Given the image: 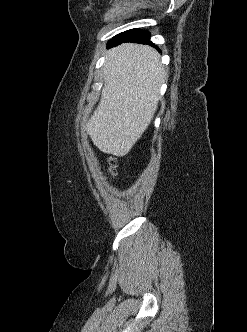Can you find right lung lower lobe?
Listing matches in <instances>:
<instances>
[{
    "instance_id": "1",
    "label": "right lung lower lobe",
    "mask_w": 247,
    "mask_h": 332,
    "mask_svg": "<svg viewBox=\"0 0 247 332\" xmlns=\"http://www.w3.org/2000/svg\"><path fill=\"white\" fill-rule=\"evenodd\" d=\"M150 34L147 31H143L142 29H132L120 33L113 37L108 42V48L111 46H115L121 44L122 42H134V43H142L147 44L149 43Z\"/></svg>"
}]
</instances>
